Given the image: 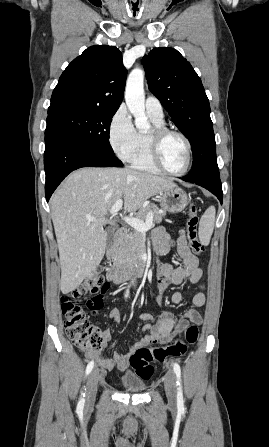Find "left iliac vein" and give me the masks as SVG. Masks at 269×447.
<instances>
[{"label": "left iliac vein", "instance_id": "obj_1", "mask_svg": "<svg viewBox=\"0 0 269 447\" xmlns=\"http://www.w3.org/2000/svg\"><path fill=\"white\" fill-rule=\"evenodd\" d=\"M164 386L168 401L171 405L176 403L177 386L174 372L169 370L164 376Z\"/></svg>", "mask_w": 269, "mask_h": 447}]
</instances>
